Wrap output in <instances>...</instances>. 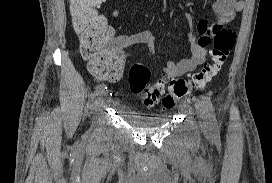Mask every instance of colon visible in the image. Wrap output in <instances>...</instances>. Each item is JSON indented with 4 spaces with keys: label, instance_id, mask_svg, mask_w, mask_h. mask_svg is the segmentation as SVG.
<instances>
[{
    "label": "colon",
    "instance_id": "colon-1",
    "mask_svg": "<svg viewBox=\"0 0 272 183\" xmlns=\"http://www.w3.org/2000/svg\"><path fill=\"white\" fill-rule=\"evenodd\" d=\"M69 1L81 55L88 61L93 73L105 75L111 67L119 63L118 55L109 46L111 35L105 18L99 11L105 0ZM215 31L211 57L200 71L188 79L162 80L151 84L149 69L144 65L134 64L128 73L131 92L147 106L161 101L164 108L170 109L178 99L192 90L204 88L221 70L236 39L234 31L228 27L220 26V30Z\"/></svg>",
    "mask_w": 272,
    "mask_h": 183
}]
</instances>
